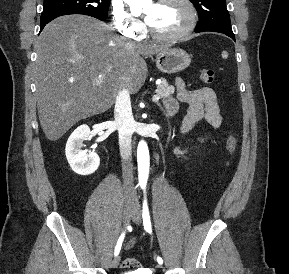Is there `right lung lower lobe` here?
Returning a JSON list of instances; mask_svg holds the SVG:
<instances>
[{
	"label": "right lung lower lobe",
	"instance_id": "1",
	"mask_svg": "<svg viewBox=\"0 0 289 274\" xmlns=\"http://www.w3.org/2000/svg\"><path fill=\"white\" fill-rule=\"evenodd\" d=\"M56 17H52V18H47V19H44V20H41V23H40V32L43 30L44 26L49 23L50 21H52L53 19H55Z\"/></svg>",
	"mask_w": 289,
	"mask_h": 274
}]
</instances>
